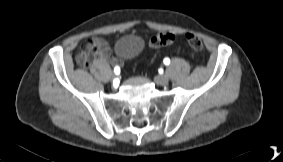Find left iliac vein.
Here are the masks:
<instances>
[{"mask_svg":"<svg viewBox=\"0 0 283 162\" xmlns=\"http://www.w3.org/2000/svg\"><path fill=\"white\" fill-rule=\"evenodd\" d=\"M155 82L160 85H166L169 82V79L166 75H158L155 77Z\"/></svg>","mask_w":283,"mask_h":162,"instance_id":"left-iliac-vein-1","label":"left iliac vein"}]
</instances>
